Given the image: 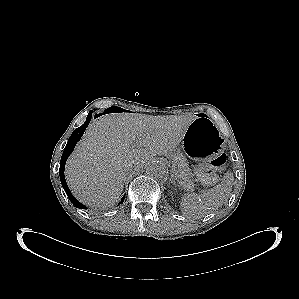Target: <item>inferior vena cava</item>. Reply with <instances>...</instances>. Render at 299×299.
Returning <instances> with one entry per match:
<instances>
[{
    "label": "inferior vena cava",
    "mask_w": 299,
    "mask_h": 299,
    "mask_svg": "<svg viewBox=\"0 0 299 299\" xmlns=\"http://www.w3.org/2000/svg\"><path fill=\"white\" fill-rule=\"evenodd\" d=\"M134 170H136V167L135 166H131L130 167V173L133 172Z\"/></svg>",
    "instance_id": "inferior-vena-cava-1"
}]
</instances>
